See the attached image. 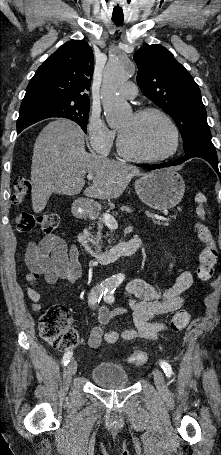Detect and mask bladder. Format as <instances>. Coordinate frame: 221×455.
<instances>
[{
	"label": "bladder",
	"instance_id": "1",
	"mask_svg": "<svg viewBox=\"0 0 221 455\" xmlns=\"http://www.w3.org/2000/svg\"><path fill=\"white\" fill-rule=\"evenodd\" d=\"M93 382L103 388H123L129 385V377L122 365L99 363L90 370Z\"/></svg>",
	"mask_w": 221,
	"mask_h": 455
}]
</instances>
